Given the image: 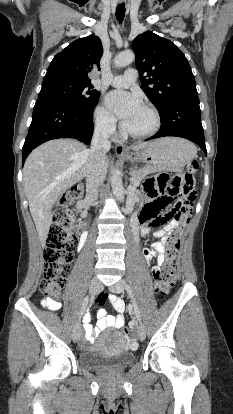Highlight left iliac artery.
I'll return each mask as SVG.
<instances>
[{"instance_id":"1","label":"left iliac artery","mask_w":233,"mask_h":414,"mask_svg":"<svg viewBox=\"0 0 233 414\" xmlns=\"http://www.w3.org/2000/svg\"><path fill=\"white\" fill-rule=\"evenodd\" d=\"M125 288H126L127 293L129 294L130 298L132 299V302H133V306H134V310H135L136 317H137V319H138L139 321H141V315H140V312H139L138 306H137V304H136V302H135V299H134V296H133L132 289H131L130 285H128V284H125Z\"/></svg>"}]
</instances>
